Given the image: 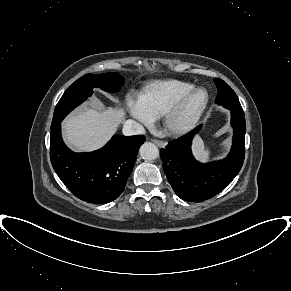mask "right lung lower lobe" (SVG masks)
Segmentation results:
<instances>
[{"instance_id":"1","label":"right lung lower lobe","mask_w":291,"mask_h":291,"mask_svg":"<svg viewBox=\"0 0 291 291\" xmlns=\"http://www.w3.org/2000/svg\"><path fill=\"white\" fill-rule=\"evenodd\" d=\"M144 141L142 135H114L97 151L74 153L64 144L59 123L51 128L50 159L60 180L76 197L93 204H105L124 191Z\"/></svg>"}]
</instances>
